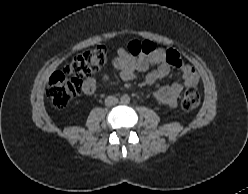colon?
Returning <instances> with one entry per match:
<instances>
[{"label":"colon","instance_id":"obj_1","mask_svg":"<svg viewBox=\"0 0 248 194\" xmlns=\"http://www.w3.org/2000/svg\"><path fill=\"white\" fill-rule=\"evenodd\" d=\"M128 50L132 55L152 54L157 48L149 41H132L128 44ZM165 60L177 67L180 64V56L173 50L165 51ZM107 61V51L103 45L96 46L76 57L55 72L48 83L47 95L53 104L62 108L73 100L81 91L83 79L96 73ZM200 103V93L197 88L189 87L181 97V106L185 111H192Z\"/></svg>","mask_w":248,"mask_h":194}]
</instances>
